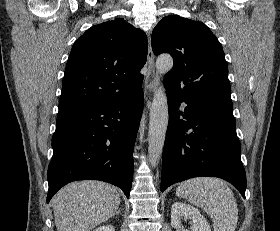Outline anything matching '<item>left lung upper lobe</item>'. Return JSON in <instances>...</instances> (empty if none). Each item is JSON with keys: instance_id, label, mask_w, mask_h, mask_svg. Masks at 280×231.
Returning <instances> with one entry per match:
<instances>
[{"instance_id": "1", "label": "left lung upper lobe", "mask_w": 280, "mask_h": 231, "mask_svg": "<svg viewBox=\"0 0 280 231\" xmlns=\"http://www.w3.org/2000/svg\"><path fill=\"white\" fill-rule=\"evenodd\" d=\"M151 43L155 55L169 53L174 59L163 80L166 89L232 107L223 49L204 23L164 17L154 28Z\"/></svg>"}]
</instances>
